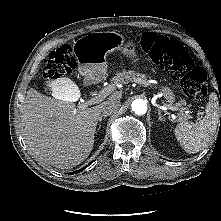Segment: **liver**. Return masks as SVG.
<instances>
[{
	"mask_svg": "<svg viewBox=\"0 0 221 221\" xmlns=\"http://www.w3.org/2000/svg\"><path fill=\"white\" fill-rule=\"evenodd\" d=\"M68 89L79 91L69 79ZM113 92L106 101L119 100ZM103 101L93 107L51 98L30 88L21 107L24 138L30 149L44 162L71 169L82 163L94 145V135Z\"/></svg>",
	"mask_w": 221,
	"mask_h": 221,
	"instance_id": "obj_1",
	"label": "liver"
}]
</instances>
